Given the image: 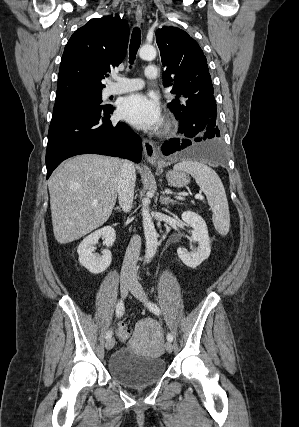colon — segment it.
I'll use <instances>...</instances> for the list:
<instances>
[{
    "label": "colon",
    "mask_w": 299,
    "mask_h": 427,
    "mask_svg": "<svg viewBox=\"0 0 299 427\" xmlns=\"http://www.w3.org/2000/svg\"><path fill=\"white\" fill-rule=\"evenodd\" d=\"M118 332L119 334H121L125 339H128L130 336V331L128 330V328L126 327L125 322L123 323V325L121 327L118 328Z\"/></svg>",
    "instance_id": "colon-1"
}]
</instances>
